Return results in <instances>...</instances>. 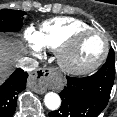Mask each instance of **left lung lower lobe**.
I'll use <instances>...</instances> for the list:
<instances>
[{"mask_svg": "<svg viewBox=\"0 0 117 117\" xmlns=\"http://www.w3.org/2000/svg\"><path fill=\"white\" fill-rule=\"evenodd\" d=\"M66 78L67 85L59 94L62 104L49 117H97L108 104L114 75L101 67L89 77Z\"/></svg>", "mask_w": 117, "mask_h": 117, "instance_id": "0a47b994", "label": "left lung lower lobe"}]
</instances>
